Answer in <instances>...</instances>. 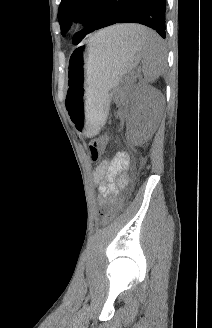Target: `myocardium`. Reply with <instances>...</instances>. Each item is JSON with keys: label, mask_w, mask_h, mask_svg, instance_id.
<instances>
[{"label": "myocardium", "mask_w": 212, "mask_h": 328, "mask_svg": "<svg viewBox=\"0 0 212 328\" xmlns=\"http://www.w3.org/2000/svg\"><path fill=\"white\" fill-rule=\"evenodd\" d=\"M83 22H84V18H83V17H79V18L76 20V24H77V25H81Z\"/></svg>", "instance_id": "obj_1"}]
</instances>
